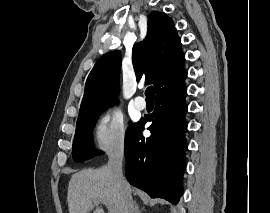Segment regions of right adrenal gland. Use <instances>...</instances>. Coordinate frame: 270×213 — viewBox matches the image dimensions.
<instances>
[{
  "instance_id": "obj_1",
  "label": "right adrenal gland",
  "mask_w": 270,
  "mask_h": 213,
  "mask_svg": "<svg viewBox=\"0 0 270 213\" xmlns=\"http://www.w3.org/2000/svg\"><path fill=\"white\" fill-rule=\"evenodd\" d=\"M133 213H141L136 201L133 202Z\"/></svg>"
}]
</instances>
